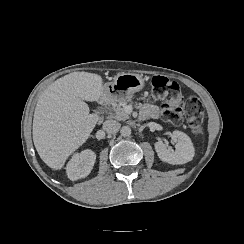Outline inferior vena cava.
I'll return each mask as SVG.
<instances>
[{
    "label": "inferior vena cava",
    "mask_w": 244,
    "mask_h": 244,
    "mask_svg": "<svg viewBox=\"0 0 244 244\" xmlns=\"http://www.w3.org/2000/svg\"><path fill=\"white\" fill-rule=\"evenodd\" d=\"M103 129L108 134H116L120 129V123L114 120H107L103 123Z\"/></svg>",
    "instance_id": "obj_1"
}]
</instances>
